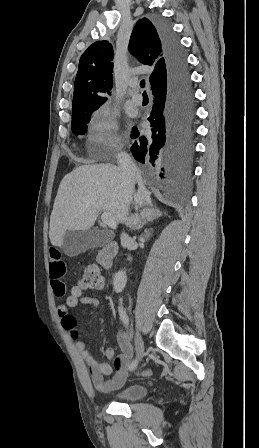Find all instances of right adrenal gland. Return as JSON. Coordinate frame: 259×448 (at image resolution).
<instances>
[{"instance_id":"right-adrenal-gland-1","label":"right adrenal gland","mask_w":259,"mask_h":448,"mask_svg":"<svg viewBox=\"0 0 259 448\" xmlns=\"http://www.w3.org/2000/svg\"><path fill=\"white\" fill-rule=\"evenodd\" d=\"M144 224H147V220H144V222H140L136 228H132V230H141L143 228Z\"/></svg>"}]
</instances>
